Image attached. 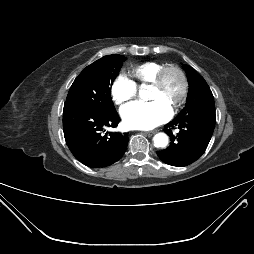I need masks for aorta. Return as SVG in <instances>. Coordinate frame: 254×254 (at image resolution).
Here are the masks:
<instances>
[{"instance_id": "1", "label": "aorta", "mask_w": 254, "mask_h": 254, "mask_svg": "<svg viewBox=\"0 0 254 254\" xmlns=\"http://www.w3.org/2000/svg\"><path fill=\"white\" fill-rule=\"evenodd\" d=\"M154 146L164 148L168 145L169 139L165 133H158L153 138Z\"/></svg>"}]
</instances>
